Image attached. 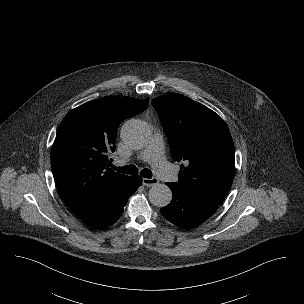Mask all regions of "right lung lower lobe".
<instances>
[{
	"instance_id": "1",
	"label": "right lung lower lobe",
	"mask_w": 304,
	"mask_h": 304,
	"mask_svg": "<svg viewBox=\"0 0 304 304\" xmlns=\"http://www.w3.org/2000/svg\"><path fill=\"white\" fill-rule=\"evenodd\" d=\"M142 184L140 176H127L109 192L107 197L88 215L81 218L87 225L103 229L116 222L123 213L128 198Z\"/></svg>"
}]
</instances>
